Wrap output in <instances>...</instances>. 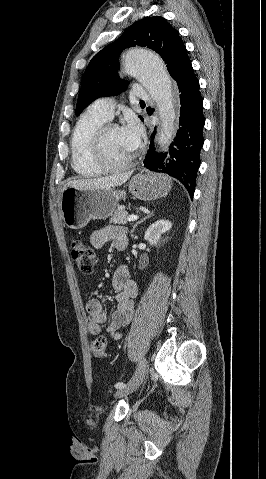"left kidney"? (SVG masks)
Returning a JSON list of instances; mask_svg holds the SVG:
<instances>
[{
  "label": "left kidney",
  "mask_w": 266,
  "mask_h": 479,
  "mask_svg": "<svg viewBox=\"0 0 266 479\" xmlns=\"http://www.w3.org/2000/svg\"><path fill=\"white\" fill-rule=\"evenodd\" d=\"M172 228V223L168 220H158L150 225L146 230L144 239L150 243H156L162 234L166 233Z\"/></svg>",
  "instance_id": "5707ae66"
}]
</instances>
